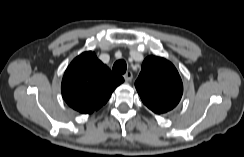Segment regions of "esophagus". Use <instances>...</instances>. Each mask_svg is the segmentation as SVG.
I'll use <instances>...</instances> for the list:
<instances>
[{
  "label": "esophagus",
  "instance_id": "34e87169",
  "mask_svg": "<svg viewBox=\"0 0 244 157\" xmlns=\"http://www.w3.org/2000/svg\"><path fill=\"white\" fill-rule=\"evenodd\" d=\"M124 79L126 82H129L132 80L133 78V74L131 71H127L124 75H123Z\"/></svg>",
  "mask_w": 244,
  "mask_h": 157
}]
</instances>
